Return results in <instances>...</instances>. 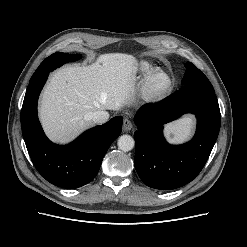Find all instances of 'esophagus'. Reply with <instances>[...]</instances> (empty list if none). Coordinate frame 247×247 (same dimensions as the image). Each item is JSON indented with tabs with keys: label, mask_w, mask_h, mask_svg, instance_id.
Segmentation results:
<instances>
[{
	"label": "esophagus",
	"mask_w": 247,
	"mask_h": 247,
	"mask_svg": "<svg viewBox=\"0 0 247 247\" xmlns=\"http://www.w3.org/2000/svg\"><path fill=\"white\" fill-rule=\"evenodd\" d=\"M133 125L130 119L125 118L123 121V129L124 131H130L132 129Z\"/></svg>",
	"instance_id": "34e87169"
}]
</instances>
